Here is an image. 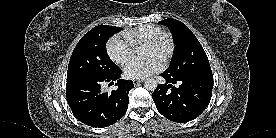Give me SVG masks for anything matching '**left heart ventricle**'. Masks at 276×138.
<instances>
[{
	"label": "left heart ventricle",
	"mask_w": 276,
	"mask_h": 138,
	"mask_svg": "<svg viewBox=\"0 0 276 138\" xmlns=\"http://www.w3.org/2000/svg\"><path fill=\"white\" fill-rule=\"evenodd\" d=\"M166 51H167V45L166 44H163L160 47L146 46L145 51H144V55L147 58L155 57V58H157L161 61L164 54L166 53Z\"/></svg>",
	"instance_id": "b2bd125f"
}]
</instances>
